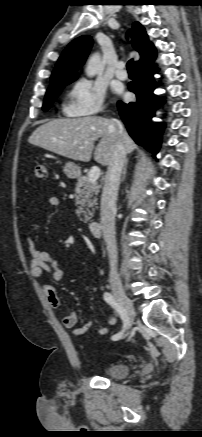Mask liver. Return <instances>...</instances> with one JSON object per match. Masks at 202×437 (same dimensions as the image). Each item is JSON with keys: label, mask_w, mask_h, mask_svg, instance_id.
Instances as JSON below:
<instances>
[{"label": "liver", "mask_w": 202, "mask_h": 437, "mask_svg": "<svg viewBox=\"0 0 202 437\" xmlns=\"http://www.w3.org/2000/svg\"><path fill=\"white\" fill-rule=\"evenodd\" d=\"M99 138L101 139L95 148L94 159L103 166L111 163L118 139L122 140L128 154L137 147L123 126L119 134L115 122L99 116L49 121L39 126L28 142L72 160L89 162L94 142Z\"/></svg>", "instance_id": "obj_1"}]
</instances>
